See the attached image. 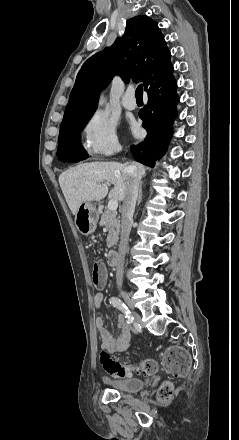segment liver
Listing matches in <instances>:
<instances>
[{"instance_id":"6515ba94","label":"liver","mask_w":239,"mask_h":440,"mask_svg":"<svg viewBox=\"0 0 239 440\" xmlns=\"http://www.w3.org/2000/svg\"><path fill=\"white\" fill-rule=\"evenodd\" d=\"M128 166H135L139 180L144 178L147 168L138 162H90L62 172L59 184L72 214L75 216L83 202L103 200L108 194L107 184L104 182H111L114 186L109 192V198L122 202L126 196L128 176L125 168Z\"/></svg>"}]
</instances>
